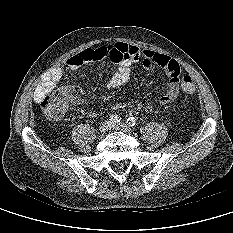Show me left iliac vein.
<instances>
[{"mask_svg": "<svg viewBox=\"0 0 233 233\" xmlns=\"http://www.w3.org/2000/svg\"><path fill=\"white\" fill-rule=\"evenodd\" d=\"M111 128L114 130H118V131H128L129 130V128L125 124H122V123H113L111 125Z\"/></svg>", "mask_w": 233, "mask_h": 233, "instance_id": "obj_1", "label": "left iliac vein"}]
</instances>
